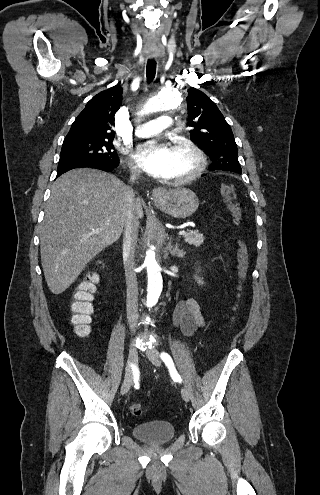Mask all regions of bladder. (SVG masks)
Listing matches in <instances>:
<instances>
[{"label":"bladder","instance_id":"1","mask_svg":"<svg viewBox=\"0 0 320 495\" xmlns=\"http://www.w3.org/2000/svg\"><path fill=\"white\" fill-rule=\"evenodd\" d=\"M133 435L146 443H166L175 435V426L168 421L155 420L136 424L132 429Z\"/></svg>","mask_w":320,"mask_h":495}]
</instances>
